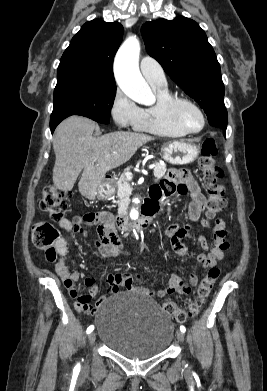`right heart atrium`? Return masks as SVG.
Masks as SVG:
<instances>
[{
  "instance_id": "right-heart-atrium-1",
  "label": "right heart atrium",
  "mask_w": 267,
  "mask_h": 391,
  "mask_svg": "<svg viewBox=\"0 0 267 391\" xmlns=\"http://www.w3.org/2000/svg\"><path fill=\"white\" fill-rule=\"evenodd\" d=\"M110 114L119 128L134 127L140 119L141 108L121 90L113 98Z\"/></svg>"
}]
</instances>
